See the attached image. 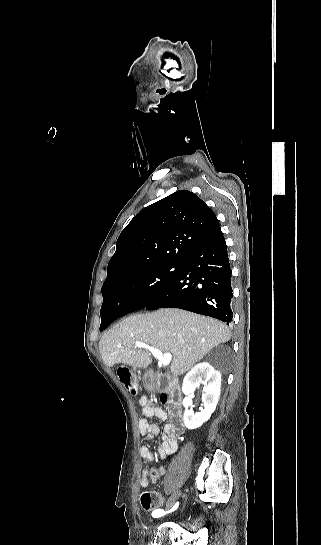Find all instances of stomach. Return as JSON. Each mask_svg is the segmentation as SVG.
Wrapping results in <instances>:
<instances>
[{"instance_id": "stomach-1", "label": "stomach", "mask_w": 321, "mask_h": 545, "mask_svg": "<svg viewBox=\"0 0 321 545\" xmlns=\"http://www.w3.org/2000/svg\"><path fill=\"white\" fill-rule=\"evenodd\" d=\"M147 377H148V371L144 373V377H143L145 385H147Z\"/></svg>"}]
</instances>
